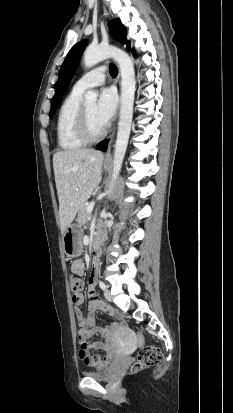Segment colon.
<instances>
[{
    "label": "colon",
    "instance_id": "colon-1",
    "mask_svg": "<svg viewBox=\"0 0 233 413\" xmlns=\"http://www.w3.org/2000/svg\"><path fill=\"white\" fill-rule=\"evenodd\" d=\"M70 288L73 294L79 293L83 288V280L73 274L69 277ZM162 360V352L156 346H141L137 361L131 366L132 371L140 370L144 367L153 366Z\"/></svg>",
    "mask_w": 233,
    "mask_h": 413
}]
</instances>
